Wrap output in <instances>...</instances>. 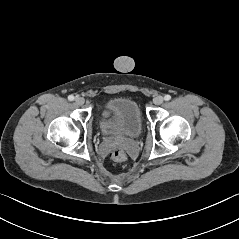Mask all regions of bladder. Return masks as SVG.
Listing matches in <instances>:
<instances>
[{"label":"bladder","instance_id":"31cf9c89","mask_svg":"<svg viewBox=\"0 0 239 239\" xmlns=\"http://www.w3.org/2000/svg\"><path fill=\"white\" fill-rule=\"evenodd\" d=\"M100 128L107 137L137 138L142 131L138 104L126 97L108 100L101 112Z\"/></svg>","mask_w":239,"mask_h":239}]
</instances>
